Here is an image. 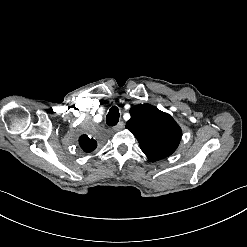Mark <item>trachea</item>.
<instances>
[{
	"mask_svg": "<svg viewBox=\"0 0 247 247\" xmlns=\"http://www.w3.org/2000/svg\"><path fill=\"white\" fill-rule=\"evenodd\" d=\"M119 121V110L117 107H112L106 117V123L109 126H115Z\"/></svg>",
	"mask_w": 247,
	"mask_h": 247,
	"instance_id": "1",
	"label": "trachea"
}]
</instances>
